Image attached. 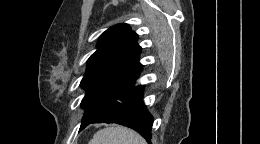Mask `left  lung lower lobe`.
Masks as SVG:
<instances>
[{
    "label": "left lung lower lobe",
    "instance_id": "1",
    "mask_svg": "<svg viewBox=\"0 0 260 144\" xmlns=\"http://www.w3.org/2000/svg\"><path fill=\"white\" fill-rule=\"evenodd\" d=\"M141 70L131 77L110 102L88 123H117L139 132L151 143L153 116L143 102L142 85L134 86Z\"/></svg>",
    "mask_w": 260,
    "mask_h": 144
}]
</instances>
